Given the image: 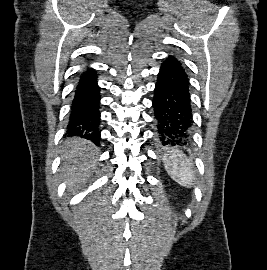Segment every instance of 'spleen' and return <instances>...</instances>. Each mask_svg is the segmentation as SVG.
Returning <instances> with one entry per match:
<instances>
[{
    "label": "spleen",
    "instance_id": "1",
    "mask_svg": "<svg viewBox=\"0 0 267 270\" xmlns=\"http://www.w3.org/2000/svg\"><path fill=\"white\" fill-rule=\"evenodd\" d=\"M168 174L185 187H192L195 178L191 161L179 150H172L164 156Z\"/></svg>",
    "mask_w": 267,
    "mask_h": 270
}]
</instances>
